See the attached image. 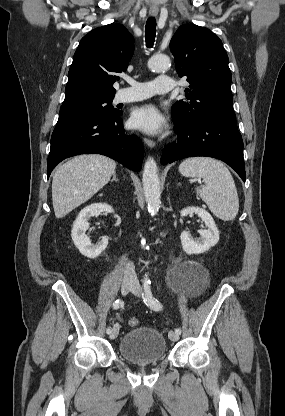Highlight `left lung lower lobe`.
<instances>
[{
  "instance_id": "0a47b994",
  "label": "left lung lower lobe",
  "mask_w": 285,
  "mask_h": 416,
  "mask_svg": "<svg viewBox=\"0 0 285 416\" xmlns=\"http://www.w3.org/2000/svg\"><path fill=\"white\" fill-rule=\"evenodd\" d=\"M178 138L167 146L161 163H172L187 157L207 156L231 166L245 182L243 141L234 116L217 115L175 127Z\"/></svg>"
}]
</instances>
